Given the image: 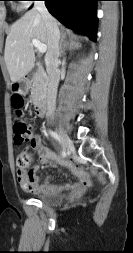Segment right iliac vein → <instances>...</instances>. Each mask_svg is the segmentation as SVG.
I'll return each mask as SVG.
<instances>
[{
	"mask_svg": "<svg viewBox=\"0 0 133 253\" xmlns=\"http://www.w3.org/2000/svg\"><path fill=\"white\" fill-rule=\"evenodd\" d=\"M58 132H59V135L61 137L64 149L65 150L69 149L72 146V142H71L69 136L61 128H58Z\"/></svg>",
	"mask_w": 133,
	"mask_h": 253,
	"instance_id": "right-iliac-vein-1",
	"label": "right iliac vein"
}]
</instances>
